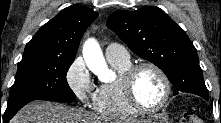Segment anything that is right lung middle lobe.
I'll return each mask as SVG.
<instances>
[{
  "mask_svg": "<svg viewBox=\"0 0 221 123\" xmlns=\"http://www.w3.org/2000/svg\"><path fill=\"white\" fill-rule=\"evenodd\" d=\"M75 57L23 55L18 63L15 82L11 87L5 116H14L34 100H73L66 74Z\"/></svg>",
  "mask_w": 221,
  "mask_h": 123,
  "instance_id": "obj_1",
  "label": "right lung middle lobe"
}]
</instances>
